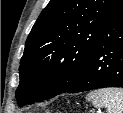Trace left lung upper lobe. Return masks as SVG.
Returning <instances> with one entry per match:
<instances>
[{
  "mask_svg": "<svg viewBox=\"0 0 123 113\" xmlns=\"http://www.w3.org/2000/svg\"><path fill=\"white\" fill-rule=\"evenodd\" d=\"M117 2L50 0L25 43L16 90L19 106L55 97L76 83Z\"/></svg>",
  "mask_w": 123,
  "mask_h": 113,
  "instance_id": "left-lung-upper-lobe-1",
  "label": "left lung upper lobe"
}]
</instances>
